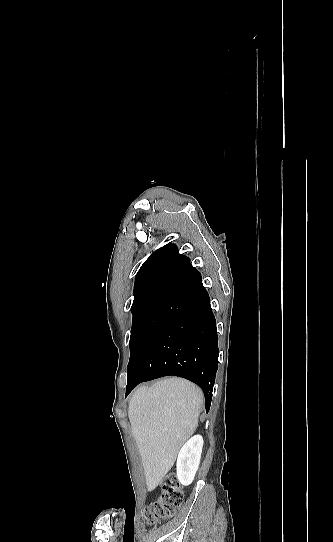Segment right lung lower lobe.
Wrapping results in <instances>:
<instances>
[{"instance_id":"1","label":"right lung lower lobe","mask_w":333,"mask_h":542,"mask_svg":"<svg viewBox=\"0 0 333 542\" xmlns=\"http://www.w3.org/2000/svg\"><path fill=\"white\" fill-rule=\"evenodd\" d=\"M169 263L192 271L155 306L128 364L126 396L141 382L174 375L199 385L209 411L218 369V336L210 298L189 258L174 250Z\"/></svg>"}]
</instances>
